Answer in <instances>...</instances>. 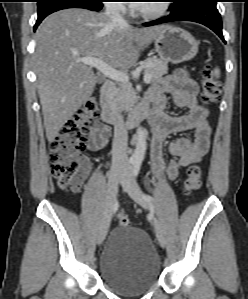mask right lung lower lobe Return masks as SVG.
<instances>
[{"label":"right lung lower lobe","mask_w":248,"mask_h":299,"mask_svg":"<svg viewBox=\"0 0 248 299\" xmlns=\"http://www.w3.org/2000/svg\"><path fill=\"white\" fill-rule=\"evenodd\" d=\"M67 8H84L92 11H99L102 8V2H91L88 0H50L38 6V19L34 26V30H36L37 26L47 15Z\"/></svg>","instance_id":"98d812e1"}]
</instances>
